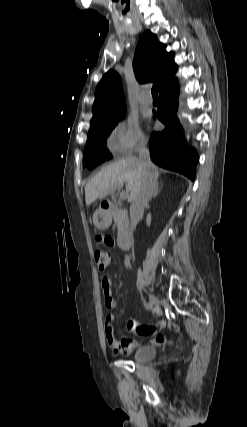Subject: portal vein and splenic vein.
I'll list each match as a JSON object with an SVG mask.
<instances>
[{"mask_svg": "<svg viewBox=\"0 0 247 427\" xmlns=\"http://www.w3.org/2000/svg\"><path fill=\"white\" fill-rule=\"evenodd\" d=\"M128 196V193L127 192H121L120 193V198L121 199H124V198H126Z\"/></svg>", "mask_w": 247, "mask_h": 427, "instance_id": "obj_1", "label": "portal vein and splenic vein"}]
</instances>
